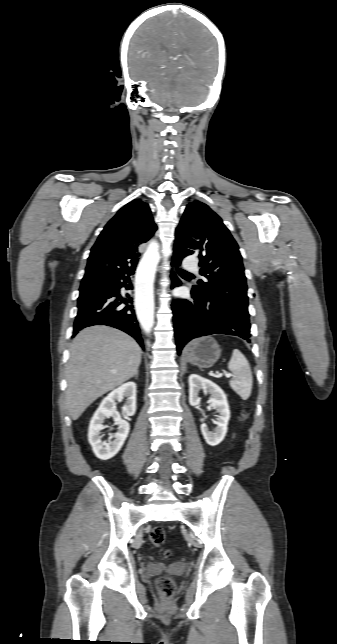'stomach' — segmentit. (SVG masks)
<instances>
[{
  "label": "stomach",
  "instance_id": "stomach-1",
  "mask_svg": "<svg viewBox=\"0 0 337 644\" xmlns=\"http://www.w3.org/2000/svg\"><path fill=\"white\" fill-rule=\"evenodd\" d=\"M221 356V348L212 337H203L192 341L185 348L183 360L199 368L212 367Z\"/></svg>",
  "mask_w": 337,
  "mask_h": 644
}]
</instances>
